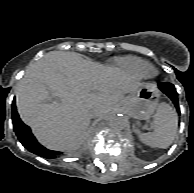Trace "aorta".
<instances>
[{"label": "aorta", "instance_id": "1", "mask_svg": "<svg viewBox=\"0 0 194 193\" xmlns=\"http://www.w3.org/2000/svg\"><path fill=\"white\" fill-rule=\"evenodd\" d=\"M108 124L111 129L121 131L127 127L128 121L123 115L115 113L109 117Z\"/></svg>", "mask_w": 194, "mask_h": 193}]
</instances>
